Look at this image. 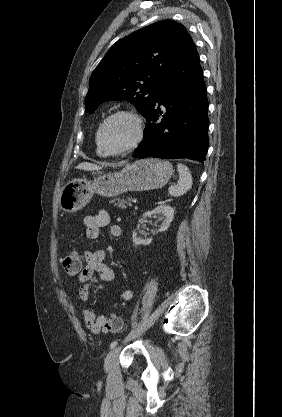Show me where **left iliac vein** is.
<instances>
[{"label": "left iliac vein", "mask_w": 282, "mask_h": 417, "mask_svg": "<svg viewBox=\"0 0 282 417\" xmlns=\"http://www.w3.org/2000/svg\"><path fill=\"white\" fill-rule=\"evenodd\" d=\"M121 350V347H115L112 350L109 351L107 354L105 360H104V369L105 371H110L113 367L115 360L117 359V356Z\"/></svg>", "instance_id": "left-iliac-vein-1"}]
</instances>
